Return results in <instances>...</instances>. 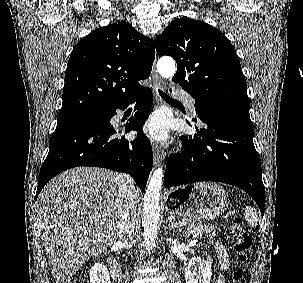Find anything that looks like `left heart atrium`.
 Segmentation results:
<instances>
[{
  "instance_id": "39dd6f15",
  "label": "left heart atrium",
  "mask_w": 303,
  "mask_h": 283,
  "mask_svg": "<svg viewBox=\"0 0 303 283\" xmlns=\"http://www.w3.org/2000/svg\"><path fill=\"white\" fill-rule=\"evenodd\" d=\"M142 131L156 140H164L168 133V120L160 113L153 114L145 122Z\"/></svg>"
}]
</instances>
